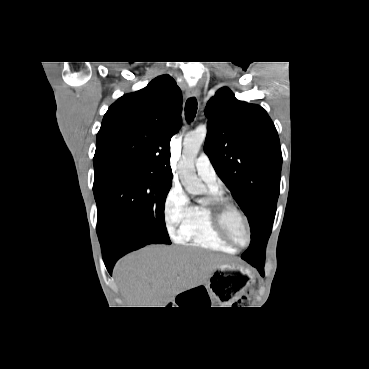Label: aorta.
<instances>
[{"instance_id":"obj_1","label":"aorta","mask_w":369,"mask_h":369,"mask_svg":"<svg viewBox=\"0 0 369 369\" xmlns=\"http://www.w3.org/2000/svg\"><path fill=\"white\" fill-rule=\"evenodd\" d=\"M206 134V127L199 126L193 132L187 134L183 141V153L178 164V173L186 191L192 195L203 194L206 190L205 185L197 177L194 166V160L206 138Z\"/></svg>"}]
</instances>
